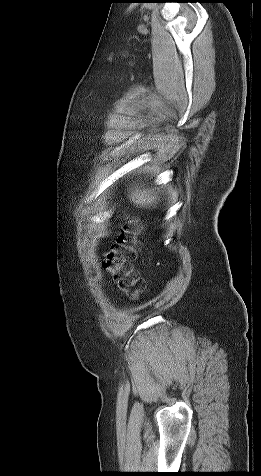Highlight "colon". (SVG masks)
Listing matches in <instances>:
<instances>
[{
    "instance_id": "colon-1",
    "label": "colon",
    "mask_w": 261,
    "mask_h": 476,
    "mask_svg": "<svg viewBox=\"0 0 261 476\" xmlns=\"http://www.w3.org/2000/svg\"><path fill=\"white\" fill-rule=\"evenodd\" d=\"M138 234V222L128 219L102 258V266L109 273L116 289L134 299L143 290V281L133 266L139 250Z\"/></svg>"
}]
</instances>
